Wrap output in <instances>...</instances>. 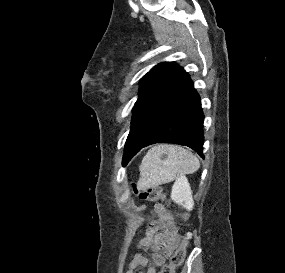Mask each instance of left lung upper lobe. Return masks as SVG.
<instances>
[{"instance_id":"left-lung-upper-lobe-1","label":"left lung upper lobe","mask_w":285,"mask_h":273,"mask_svg":"<svg viewBox=\"0 0 285 273\" xmlns=\"http://www.w3.org/2000/svg\"><path fill=\"white\" fill-rule=\"evenodd\" d=\"M184 69L174 62L154 66L141 80L139 96L133 108V125L174 86Z\"/></svg>"}]
</instances>
